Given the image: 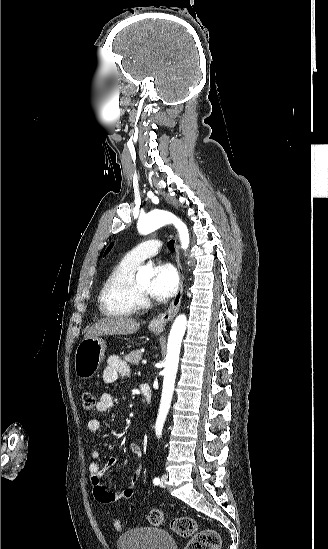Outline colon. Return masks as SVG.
I'll return each mask as SVG.
<instances>
[{
	"label": "colon",
	"mask_w": 328,
	"mask_h": 549,
	"mask_svg": "<svg viewBox=\"0 0 328 549\" xmlns=\"http://www.w3.org/2000/svg\"><path fill=\"white\" fill-rule=\"evenodd\" d=\"M96 401L95 396L90 392H85L82 395L83 409L87 412L93 410ZM165 513L161 510H151L148 514L150 524L158 526L165 522ZM113 528L117 532L123 529L120 520L113 521ZM171 530L178 536L190 538L184 549H219L221 539L217 531L213 529L198 530V524L195 519L188 516L175 517L170 521Z\"/></svg>",
	"instance_id": "1"
}]
</instances>
